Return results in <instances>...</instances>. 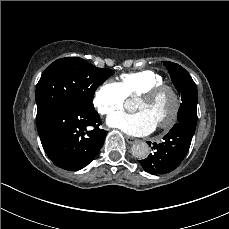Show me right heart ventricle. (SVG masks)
Segmentation results:
<instances>
[{
	"label": "right heart ventricle",
	"mask_w": 229,
	"mask_h": 229,
	"mask_svg": "<svg viewBox=\"0 0 229 229\" xmlns=\"http://www.w3.org/2000/svg\"><path fill=\"white\" fill-rule=\"evenodd\" d=\"M121 86L126 97H137L144 94L148 89L164 84V77L152 70H141L122 74Z\"/></svg>",
	"instance_id": "right-heart-ventricle-1"
}]
</instances>
